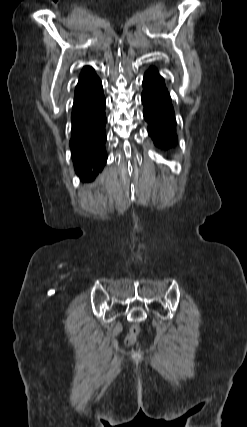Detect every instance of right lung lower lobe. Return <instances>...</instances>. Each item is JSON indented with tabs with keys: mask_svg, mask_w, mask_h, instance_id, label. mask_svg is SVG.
<instances>
[{
	"mask_svg": "<svg viewBox=\"0 0 247 427\" xmlns=\"http://www.w3.org/2000/svg\"><path fill=\"white\" fill-rule=\"evenodd\" d=\"M106 100L102 83L94 70L80 76L72 108V136L69 142L76 174L92 181L107 160Z\"/></svg>",
	"mask_w": 247,
	"mask_h": 427,
	"instance_id": "obj_1",
	"label": "right lung lower lobe"
}]
</instances>
